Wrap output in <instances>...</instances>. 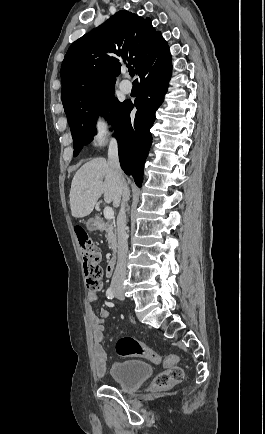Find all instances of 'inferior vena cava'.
Returning <instances> with one entry per match:
<instances>
[{"instance_id": "inferior-vena-cava-1", "label": "inferior vena cava", "mask_w": 265, "mask_h": 434, "mask_svg": "<svg viewBox=\"0 0 265 434\" xmlns=\"http://www.w3.org/2000/svg\"><path fill=\"white\" fill-rule=\"evenodd\" d=\"M108 162L116 168L121 176L122 184V196L123 202L121 210L119 212V222H118V260L116 270L113 274L112 284H119V282H124L126 278V258L128 252V236L126 234V202L129 200L130 190L121 174V168L118 158V146L116 140H111L109 150H108Z\"/></svg>"}]
</instances>
